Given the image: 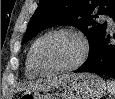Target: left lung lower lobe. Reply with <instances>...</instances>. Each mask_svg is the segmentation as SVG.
I'll return each mask as SVG.
<instances>
[{
  "label": "left lung lower lobe",
  "instance_id": "0a47b994",
  "mask_svg": "<svg viewBox=\"0 0 115 99\" xmlns=\"http://www.w3.org/2000/svg\"><path fill=\"white\" fill-rule=\"evenodd\" d=\"M113 19L115 21V15ZM113 38L115 39V34ZM109 40L110 36L106 32L97 48L75 72H92L115 79V44H111Z\"/></svg>",
  "mask_w": 115,
  "mask_h": 99
}]
</instances>
